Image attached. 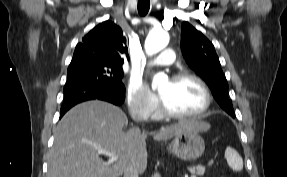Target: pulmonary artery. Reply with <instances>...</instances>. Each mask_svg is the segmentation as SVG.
I'll use <instances>...</instances> for the list:
<instances>
[{"label":"pulmonary artery","mask_w":287,"mask_h":177,"mask_svg":"<svg viewBox=\"0 0 287 177\" xmlns=\"http://www.w3.org/2000/svg\"><path fill=\"white\" fill-rule=\"evenodd\" d=\"M174 61V50L172 48H167L155 57L154 59L149 61V65L151 66H167L172 64Z\"/></svg>","instance_id":"obj_1"}]
</instances>
